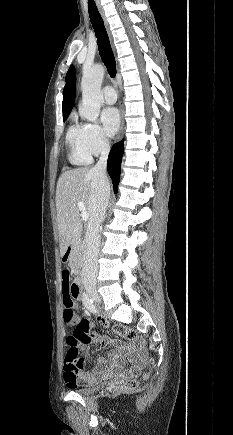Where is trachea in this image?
<instances>
[{
  "instance_id": "trachea-1",
  "label": "trachea",
  "mask_w": 233,
  "mask_h": 435,
  "mask_svg": "<svg viewBox=\"0 0 233 435\" xmlns=\"http://www.w3.org/2000/svg\"><path fill=\"white\" fill-rule=\"evenodd\" d=\"M88 12L97 38L99 54L101 56L102 62L105 64L110 77L114 78L116 75L114 54L111 49L103 19L98 12L94 0H88Z\"/></svg>"
}]
</instances>
